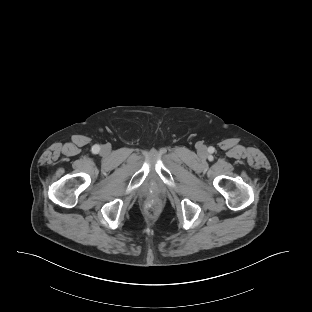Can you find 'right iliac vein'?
<instances>
[{"label": "right iliac vein", "mask_w": 312, "mask_h": 312, "mask_svg": "<svg viewBox=\"0 0 312 312\" xmlns=\"http://www.w3.org/2000/svg\"><path fill=\"white\" fill-rule=\"evenodd\" d=\"M108 151H109L108 147H106V146L102 147V152L107 153Z\"/></svg>", "instance_id": "right-iliac-vein-1"}]
</instances>
